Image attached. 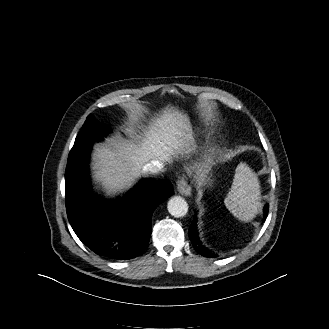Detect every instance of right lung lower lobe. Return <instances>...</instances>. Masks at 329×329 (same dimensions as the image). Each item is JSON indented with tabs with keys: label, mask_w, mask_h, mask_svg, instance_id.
I'll use <instances>...</instances> for the list:
<instances>
[{
	"label": "right lung lower lobe",
	"mask_w": 329,
	"mask_h": 329,
	"mask_svg": "<svg viewBox=\"0 0 329 329\" xmlns=\"http://www.w3.org/2000/svg\"><path fill=\"white\" fill-rule=\"evenodd\" d=\"M90 148L67 162L65 197L68 220L78 238L96 254L128 260L149 244L154 209L174 190L167 180L143 179L123 198L107 203L91 192Z\"/></svg>",
	"instance_id": "98d812e1"
}]
</instances>
